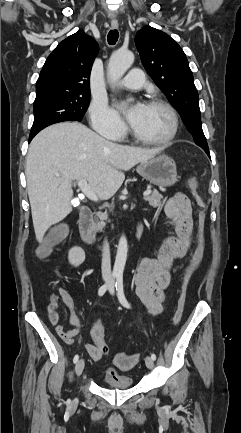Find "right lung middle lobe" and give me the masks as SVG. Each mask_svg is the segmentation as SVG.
<instances>
[{"label": "right lung middle lobe", "instance_id": "right-lung-middle-lobe-1", "mask_svg": "<svg viewBox=\"0 0 241 433\" xmlns=\"http://www.w3.org/2000/svg\"><path fill=\"white\" fill-rule=\"evenodd\" d=\"M90 94L47 95L35 99L34 122L30 135L63 121H81L89 104Z\"/></svg>", "mask_w": 241, "mask_h": 433}]
</instances>
